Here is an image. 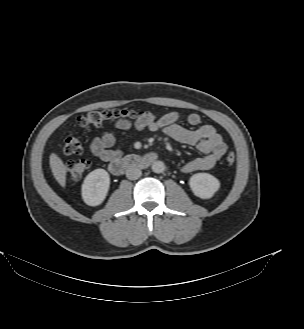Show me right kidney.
<instances>
[{"instance_id": "ca27d5eb", "label": "right kidney", "mask_w": 304, "mask_h": 329, "mask_svg": "<svg viewBox=\"0 0 304 329\" xmlns=\"http://www.w3.org/2000/svg\"><path fill=\"white\" fill-rule=\"evenodd\" d=\"M110 185L109 174L104 169L90 172L82 184V198L89 206L100 205L107 196Z\"/></svg>"}]
</instances>
